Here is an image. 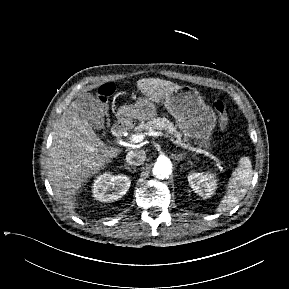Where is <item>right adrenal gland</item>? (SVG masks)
I'll list each match as a JSON object with an SVG mask.
<instances>
[{
    "label": "right adrenal gland",
    "mask_w": 289,
    "mask_h": 289,
    "mask_svg": "<svg viewBox=\"0 0 289 289\" xmlns=\"http://www.w3.org/2000/svg\"><path fill=\"white\" fill-rule=\"evenodd\" d=\"M124 167L128 170H131V168L129 166H127V164H125Z\"/></svg>",
    "instance_id": "right-adrenal-gland-1"
}]
</instances>
